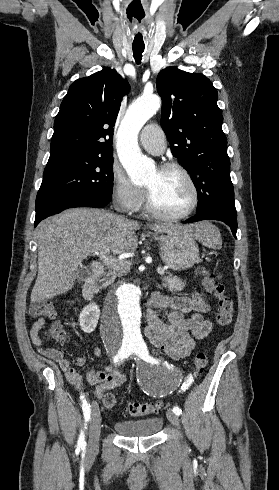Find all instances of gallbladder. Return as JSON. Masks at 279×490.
Segmentation results:
<instances>
[{
  "label": "gallbladder",
  "mask_w": 279,
  "mask_h": 490,
  "mask_svg": "<svg viewBox=\"0 0 279 490\" xmlns=\"http://www.w3.org/2000/svg\"><path fill=\"white\" fill-rule=\"evenodd\" d=\"M79 272L80 274H78L77 280L79 284H81V282H84L85 278H88V276H90V272L88 268H80Z\"/></svg>",
  "instance_id": "bac80fb5"
}]
</instances>
